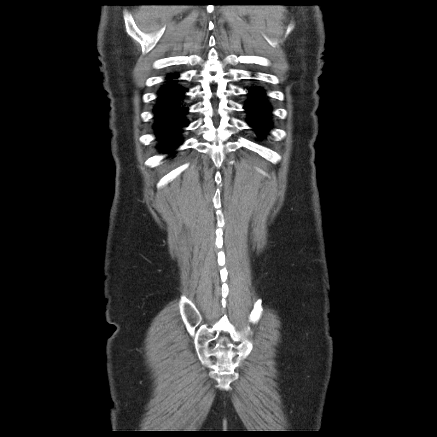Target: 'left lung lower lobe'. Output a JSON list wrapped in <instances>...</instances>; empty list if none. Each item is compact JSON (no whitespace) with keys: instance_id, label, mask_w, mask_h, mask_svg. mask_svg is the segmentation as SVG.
I'll return each mask as SVG.
<instances>
[{"instance_id":"obj_1","label":"left lung lower lobe","mask_w":437,"mask_h":437,"mask_svg":"<svg viewBox=\"0 0 437 437\" xmlns=\"http://www.w3.org/2000/svg\"><path fill=\"white\" fill-rule=\"evenodd\" d=\"M247 90V100L244 105V109L248 114L247 122L260 137H263L271 128L272 108L262 87L255 85L247 88Z\"/></svg>"}]
</instances>
